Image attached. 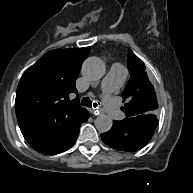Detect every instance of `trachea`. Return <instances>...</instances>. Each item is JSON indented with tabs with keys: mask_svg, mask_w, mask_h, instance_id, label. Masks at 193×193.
Segmentation results:
<instances>
[{
	"mask_svg": "<svg viewBox=\"0 0 193 193\" xmlns=\"http://www.w3.org/2000/svg\"><path fill=\"white\" fill-rule=\"evenodd\" d=\"M81 104L86 107H92V101L89 97H84L81 101ZM97 103H93V107H97Z\"/></svg>",
	"mask_w": 193,
	"mask_h": 193,
	"instance_id": "obj_1",
	"label": "trachea"
}]
</instances>
